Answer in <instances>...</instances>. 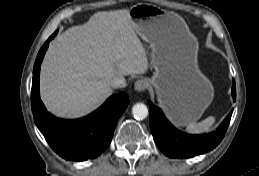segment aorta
<instances>
[{
  "label": "aorta",
  "mask_w": 259,
  "mask_h": 176,
  "mask_svg": "<svg viewBox=\"0 0 259 176\" xmlns=\"http://www.w3.org/2000/svg\"><path fill=\"white\" fill-rule=\"evenodd\" d=\"M148 108L143 103H136L132 107V114L136 119L143 120L148 116Z\"/></svg>",
  "instance_id": "1"
}]
</instances>
